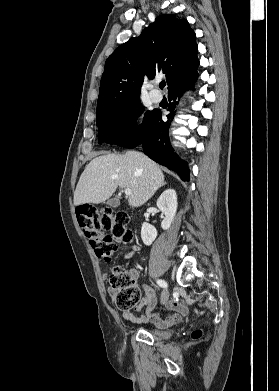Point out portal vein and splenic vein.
Masks as SVG:
<instances>
[{
    "label": "portal vein and splenic vein",
    "instance_id": "portal-vein-and-splenic-vein-1",
    "mask_svg": "<svg viewBox=\"0 0 279 391\" xmlns=\"http://www.w3.org/2000/svg\"><path fill=\"white\" fill-rule=\"evenodd\" d=\"M124 193L128 196L132 194V191L128 188L124 189Z\"/></svg>",
    "mask_w": 279,
    "mask_h": 391
}]
</instances>
